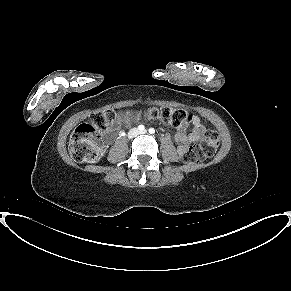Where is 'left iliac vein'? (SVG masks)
Segmentation results:
<instances>
[{
    "label": "left iliac vein",
    "mask_w": 291,
    "mask_h": 291,
    "mask_svg": "<svg viewBox=\"0 0 291 291\" xmlns=\"http://www.w3.org/2000/svg\"><path fill=\"white\" fill-rule=\"evenodd\" d=\"M140 134H146L147 133V131L146 130H143V131H141V132H139Z\"/></svg>",
    "instance_id": "obj_1"
}]
</instances>
